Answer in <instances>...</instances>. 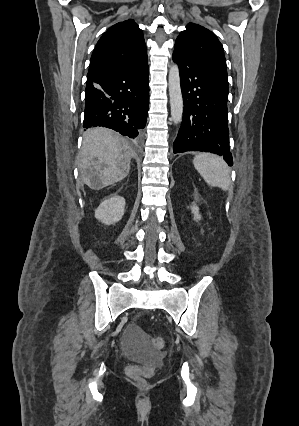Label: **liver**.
<instances>
[{"label": "liver", "mask_w": 299, "mask_h": 426, "mask_svg": "<svg viewBox=\"0 0 299 426\" xmlns=\"http://www.w3.org/2000/svg\"><path fill=\"white\" fill-rule=\"evenodd\" d=\"M134 151L118 134L106 128L89 130L83 138L78 167L80 180L90 188H104L124 179Z\"/></svg>", "instance_id": "1"}]
</instances>
